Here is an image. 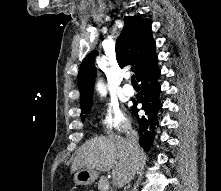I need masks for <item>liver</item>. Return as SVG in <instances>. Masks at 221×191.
Masks as SVG:
<instances>
[{
    "instance_id": "liver-1",
    "label": "liver",
    "mask_w": 221,
    "mask_h": 191,
    "mask_svg": "<svg viewBox=\"0 0 221 191\" xmlns=\"http://www.w3.org/2000/svg\"><path fill=\"white\" fill-rule=\"evenodd\" d=\"M140 150V158L137 168H133V159L127 140L120 136H101L86 141L75 157L71 172L82 168L110 171L112 169L113 183L122 187L128 183L139 168L143 158Z\"/></svg>"
}]
</instances>
